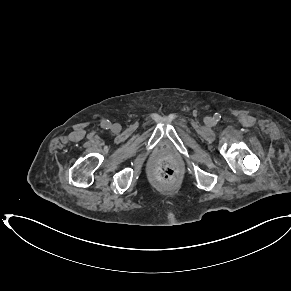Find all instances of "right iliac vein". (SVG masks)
Here are the masks:
<instances>
[{"instance_id":"right-iliac-vein-1","label":"right iliac vein","mask_w":291,"mask_h":291,"mask_svg":"<svg viewBox=\"0 0 291 291\" xmlns=\"http://www.w3.org/2000/svg\"><path fill=\"white\" fill-rule=\"evenodd\" d=\"M119 128H120V125H119V124H114V125L112 126V130H114V131H118Z\"/></svg>"}]
</instances>
